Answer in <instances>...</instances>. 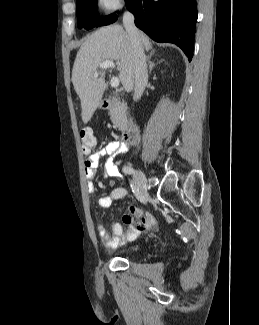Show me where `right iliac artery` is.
Instances as JSON below:
<instances>
[{
  "instance_id": "1",
  "label": "right iliac artery",
  "mask_w": 259,
  "mask_h": 325,
  "mask_svg": "<svg viewBox=\"0 0 259 325\" xmlns=\"http://www.w3.org/2000/svg\"><path fill=\"white\" fill-rule=\"evenodd\" d=\"M122 171L125 173V174H134V169L131 167V166H124L122 168ZM134 193H138V192H134Z\"/></svg>"
}]
</instances>
